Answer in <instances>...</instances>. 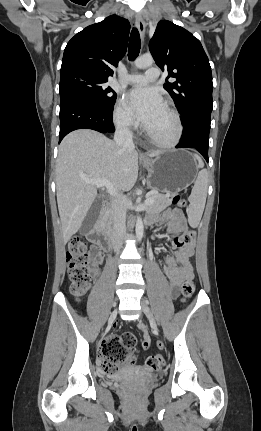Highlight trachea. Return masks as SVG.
I'll return each mask as SVG.
<instances>
[{"label": "trachea", "instance_id": "1", "mask_svg": "<svg viewBox=\"0 0 261 431\" xmlns=\"http://www.w3.org/2000/svg\"><path fill=\"white\" fill-rule=\"evenodd\" d=\"M141 47V40L139 32L136 28H133L130 35L129 47H128V58L130 61L135 60L139 55Z\"/></svg>", "mask_w": 261, "mask_h": 431}]
</instances>
